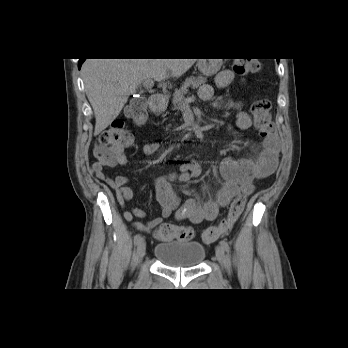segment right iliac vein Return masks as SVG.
<instances>
[{
    "mask_svg": "<svg viewBox=\"0 0 348 348\" xmlns=\"http://www.w3.org/2000/svg\"><path fill=\"white\" fill-rule=\"evenodd\" d=\"M146 252V242L145 240L141 239V241L139 242L138 246H137V251H136V257H137V261H141L142 258L144 257Z\"/></svg>",
    "mask_w": 348,
    "mask_h": 348,
    "instance_id": "63e3f726",
    "label": "right iliac vein"
}]
</instances>
